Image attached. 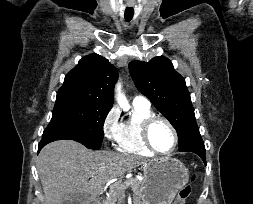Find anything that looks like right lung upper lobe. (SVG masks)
I'll return each instance as SVG.
<instances>
[{"label": "right lung upper lobe", "instance_id": "obj_1", "mask_svg": "<svg viewBox=\"0 0 253 204\" xmlns=\"http://www.w3.org/2000/svg\"><path fill=\"white\" fill-rule=\"evenodd\" d=\"M116 68L104 57L91 54L80 59L66 76L59 91L78 94L93 102L112 107Z\"/></svg>", "mask_w": 253, "mask_h": 204}]
</instances>
